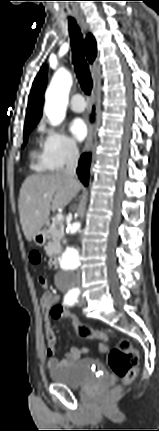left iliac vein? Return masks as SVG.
<instances>
[{
	"label": "left iliac vein",
	"instance_id": "4c4485c4",
	"mask_svg": "<svg viewBox=\"0 0 159 431\" xmlns=\"http://www.w3.org/2000/svg\"><path fill=\"white\" fill-rule=\"evenodd\" d=\"M84 304H85V299H84V297H83V296L79 297L78 302H77V305H78L79 307H81V306H83Z\"/></svg>",
	"mask_w": 159,
	"mask_h": 431
}]
</instances>
